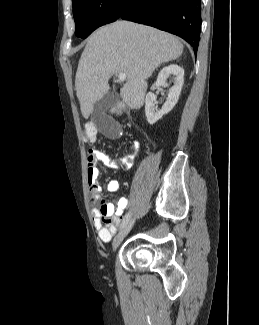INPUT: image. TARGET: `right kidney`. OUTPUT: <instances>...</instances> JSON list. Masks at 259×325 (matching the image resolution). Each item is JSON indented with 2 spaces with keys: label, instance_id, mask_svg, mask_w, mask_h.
Returning a JSON list of instances; mask_svg holds the SVG:
<instances>
[{
  "label": "right kidney",
  "instance_id": "1",
  "mask_svg": "<svg viewBox=\"0 0 259 325\" xmlns=\"http://www.w3.org/2000/svg\"><path fill=\"white\" fill-rule=\"evenodd\" d=\"M173 75L174 85L170 88L168 97L164 105L160 110L156 108V95L153 92H149L145 98V115L149 124L153 125L163 115L169 113L177 104L181 89L184 83V70L177 64H170L164 67L156 82L153 84V89L159 88L166 84L167 79Z\"/></svg>",
  "mask_w": 259,
  "mask_h": 325
}]
</instances>
